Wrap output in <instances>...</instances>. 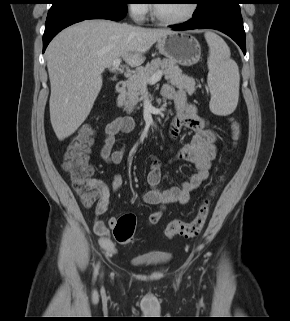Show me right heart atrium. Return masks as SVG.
<instances>
[{
  "instance_id": "obj_1",
  "label": "right heart atrium",
  "mask_w": 290,
  "mask_h": 321,
  "mask_svg": "<svg viewBox=\"0 0 290 321\" xmlns=\"http://www.w3.org/2000/svg\"><path fill=\"white\" fill-rule=\"evenodd\" d=\"M128 11L137 20H142L148 13L146 0H131L128 5Z\"/></svg>"
}]
</instances>
